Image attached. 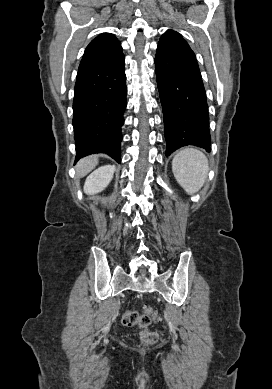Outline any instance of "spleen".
<instances>
[{
    "label": "spleen",
    "mask_w": 272,
    "mask_h": 389,
    "mask_svg": "<svg viewBox=\"0 0 272 389\" xmlns=\"http://www.w3.org/2000/svg\"><path fill=\"white\" fill-rule=\"evenodd\" d=\"M208 170V160L198 149H182L172 161L174 177L188 194L197 192L203 186Z\"/></svg>",
    "instance_id": "3e777b00"
}]
</instances>
